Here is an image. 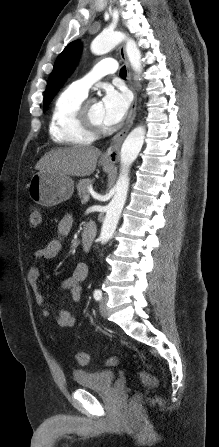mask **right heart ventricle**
I'll use <instances>...</instances> for the list:
<instances>
[{"label": "right heart ventricle", "mask_w": 219, "mask_h": 447, "mask_svg": "<svg viewBox=\"0 0 219 447\" xmlns=\"http://www.w3.org/2000/svg\"><path fill=\"white\" fill-rule=\"evenodd\" d=\"M72 87L63 90L54 101L49 124L51 139L58 144L83 145L94 139V135L83 130L77 121V109L85 99Z\"/></svg>", "instance_id": "e07e8e85"}]
</instances>
